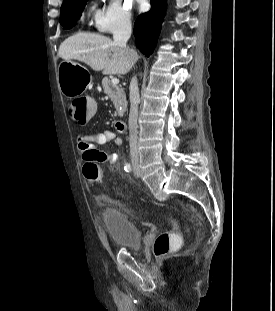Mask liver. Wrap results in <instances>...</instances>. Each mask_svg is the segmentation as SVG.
Returning a JSON list of instances; mask_svg holds the SVG:
<instances>
[{"mask_svg": "<svg viewBox=\"0 0 275 311\" xmlns=\"http://www.w3.org/2000/svg\"><path fill=\"white\" fill-rule=\"evenodd\" d=\"M64 60L75 59L104 75H125L135 64L138 55L134 50L126 51L109 37L79 32L65 39L58 51Z\"/></svg>", "mask_w": 275, "mask_h": 311, "instance_id": "6515ba94", "label": "liver"}]
</instances>
